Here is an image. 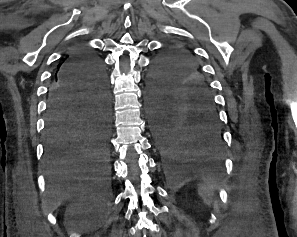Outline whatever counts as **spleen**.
<instances>
[{
  "instance_id": "3e777b00",
  "label": "spleen",
  "mask_w": 297,
  "mask_h": 237,
  "mask_svg": "<svg viewBox=\"0 0 297 237\" xmlns=\"http://www.w3.org/2000/svg\"><path fill=\"white\" fill-rule=\"evenodd\" d=\"M212 191V185L204 184L198 188V193L202 197L206 205H211L210 196Z\"/></svg>"
}]
</instances>
